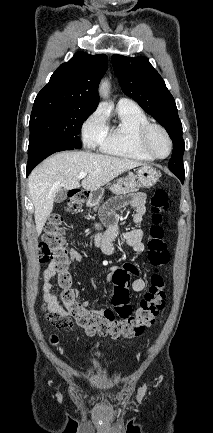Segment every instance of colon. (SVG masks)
I'll use <instances>...</instances> for the list:
<instances>
[{
	"label": "colon",
	"instance_id": "5ec220e1",
	"mask_svg": "<svg viewBox=\"0 0 213 433\" xmlns=\"http://www.w3.org/2000/svg\"><path fill=\"white\" fill-rule=\"evenodd\" d=\"M89 197L88 192L80 189L68 193L66 210L75 212L82 208ZM169 210V196L166 190L156 189L151 198L152 226L149 230L148 260L156 268L169 261L164 229L161 226L163 215ZM63 216L54 214L48 221L40 243L42 261H52L58 272V284L61 287V300L76 323L90 334L110 336L112 338L136 337L146 327L151 326L159 312L165 306V281L158 269L150 278V285L133 311L130 305L131 271L128 267L117 269L112 275L115 285L112 297L113 309L99 312L88 308L77 299V291L71 287V276L67 265V249L62 239ZM50 321L57 329L71 327L67 318L50 315Z\"/></svg>",
	"mask_w": 213,
	"mask_h": 433
}]
</instances>
